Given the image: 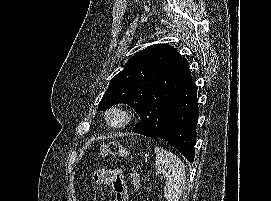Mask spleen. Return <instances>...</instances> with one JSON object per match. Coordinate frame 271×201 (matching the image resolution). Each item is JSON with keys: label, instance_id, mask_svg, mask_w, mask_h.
Wrapping results in <instances>:
<instances>
[{"label": "spleen", "instance_id": "1", "mask_svg": "<svg viewBox=\"0 0 271 201\" xmlns=\"http://www.w3.org/2000/svg\"><path fill=\"white\" fill-rule=\"evenodd\" d=\"M155 169L164 176V197L167 201H179L186 184L185 166L175 154L155 147Z\"/></svg>", "mask_w": 271, "mask_h": 201}]
</instances>
